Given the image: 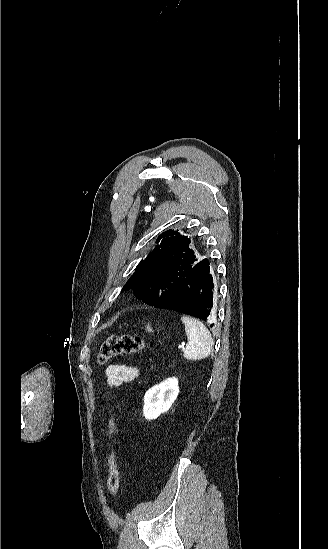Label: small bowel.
Listing matches in <instances>:
<instances>
[{"label":"small bowel","instance_id":"small-bowel-1","mask_svg":"<svg viewBox=\"0 0 328 549\" xmlns=\"http://www.w3.org/2000/svg\"><path fill=\"white\" fill-rule=\"evenodd\" d=\"M105 375L107 387L116 388L135 380L139 376V369L125 364H111L106 368Z\"/></svg>","mask_w":328,"mask_h":549}]
</instances>
